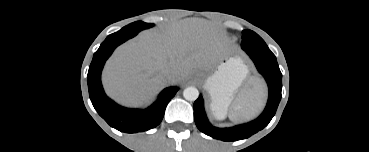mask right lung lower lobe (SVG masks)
<instances>
[{
  "label": "right lung lower lobe",
  "instance_id": "right-lung-lower-lobe-1",
  "mask_svg": "<svg viewBox=\"0 0 369 152\" xmlns=\"http://www.w3.org/2000/svg\"><path fill=\"white\" fill-rule=\"evenodd\" d=\"M138 32L118 31L109 35L95 52L89 67L87 81L90 100L98 114L113 128L127 133L147 131L160 124L167 104L178 91L177 87L164 89L150 107L128 109L110 100L101 84V71L114 49Z\"/></svg>",
  "mask_w": 369,
  "mask_h": 152
}]
</instances>
